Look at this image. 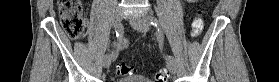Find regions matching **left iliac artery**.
Listing matches in <instances>:
<instances>
[{"label": "left iliac artery", "mask_w": 279, "mask_h": 82, "mask_svg": "<svg viewBox=\"0 0 279 82\" xmlns=\"http://www.w3.org/2000/svg\"><path fill=\"white\" fill-rule=\"evenodd\" d=\"M145 20L156 28V30H157L156 36H157V39L159 42V48L162 50V48H163V30H162L161 25L159 24L157 18L154 16H148V17H146ZM166 60L174 62L175 58L172 56H166Z\"/></svg>", "instance_id": "left-iliac-artery-1"}]
</instances>
